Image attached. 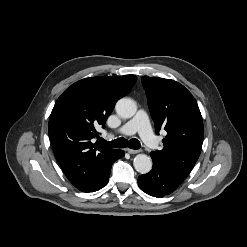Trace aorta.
I'll return each mask as SVG.
<instances>
[{"mask_svg":"<svg viewBox=\"0 0 247 247\" xmlns=\"http://www.w3.org/2000/svg\"><path fill=\"white\" fill-rule=\"evenodd\" d=\"M117 114L122 118H131L137 111V105L130 98H121L115 106ZM134 168L141 174H146L152 169V159L145 154H138L133 161Z\"/></svg>","mask_w":247,"mask_h":247,"instance_id":"762f6f07","label":"aorta"}]
</instances>
